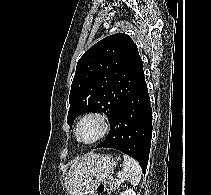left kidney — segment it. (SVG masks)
Segmentation results:
<instances>
[{
  "mask_svg": "<svg viewBox=\"0 0 211 195\" xmlns=\"http://www.w3.org/2000/svg\"><path fill=\"white\" fill-rule=\"evenodd\" d=\"M120 195H136V193L132 189H127L124 192L120 193Z\"/></svg>",
  "mask_w": 211,
  "mask_h": 195,
  "instance_id": "obj_1",
  "label": "left kidney"
}]
</instances>
